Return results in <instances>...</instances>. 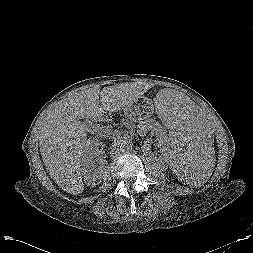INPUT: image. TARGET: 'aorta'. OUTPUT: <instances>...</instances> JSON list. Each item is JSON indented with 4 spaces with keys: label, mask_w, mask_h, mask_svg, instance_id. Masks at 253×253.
<instances>
[{
    "label": "aorta",
    "mask_w": 253,
    "mask_h": 253,
    "mask_svg": "<svg viewBox=\"0 0 253 253\" xmlns=\"http://www.w3.org/2000/svg\"><path fill=\"white\" fill-rule=\"evenodd\" d=\"M121 152L126 153L132 150V142L130 140H122L119 144Z\"/></svg>",
    "instance_id": "obj_1"
}]
</instances>
